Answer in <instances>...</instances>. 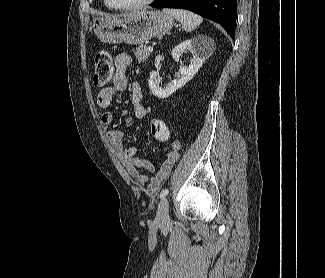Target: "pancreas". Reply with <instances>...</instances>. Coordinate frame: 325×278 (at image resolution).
Here are the masks:
<instances>
[{"label": "pancreas", "instance_id": "pancreas-1", "mask_svg": "<svg viewBox=\"0 0 325 278\" xmlns=\"http://www.w3.org/2000/svg\"><path fill=\"white\" fill-rule=\"evenodd\" d=\"M147 48H148L147 44H145V45L139 46L136 49H133V52H134L136 58L138 59L139 63H144L148 59L150 52L147 50Z\"/></svg>", "mask_w": 325, "mask_h": 278}]
</instances>
